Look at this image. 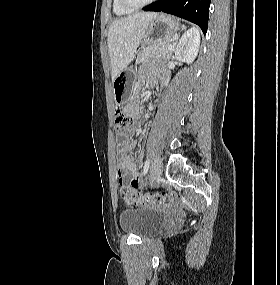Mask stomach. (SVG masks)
Wrapping results in <instances>:
<instances>
[{"mask_svg":"<svg viewBox=\"0 0 280 285\" xmlns=\"http://www.w3.org/2000/svg\"><path fill=\"white\" fill-rule=\"evenodd\" d=\"M178 30V24L170 17L158 15L149 24L142 45H150L165 39H171ZM133 68L127 67L113 81L114 100L116 104H127L132 98L131 80Z\"/></svg>","mask_w":280,"mask_h":285,"instance_id":"stomach-1","label":"stomach"}]
</instances>
